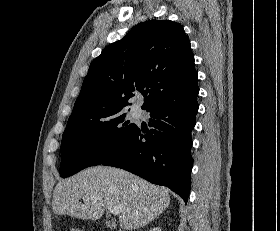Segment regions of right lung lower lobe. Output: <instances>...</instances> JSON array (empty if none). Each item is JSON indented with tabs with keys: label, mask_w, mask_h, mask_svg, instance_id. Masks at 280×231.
<instances>
[{
	"label": "right lung lower lobe",
	"mask_w": 280,
	"mask_h": 231,
	"mask_svg": "<svg viewBox=\"0 0 280 231\" xmlns=\"http://www.w3.org/2000/svg\"><path fill=\"white\" fill-rule=\"evenodd\" d=\"M199 88L164 98L146 111L150 131L136 128L101 164L125 169L151 183L169 187L187 203L193 159L191 131Z\"/></svg>",
	"instance_id": "98d812e1"
}]
</instances>
